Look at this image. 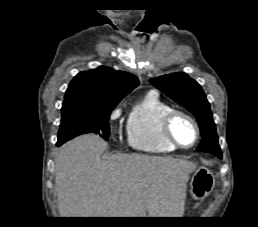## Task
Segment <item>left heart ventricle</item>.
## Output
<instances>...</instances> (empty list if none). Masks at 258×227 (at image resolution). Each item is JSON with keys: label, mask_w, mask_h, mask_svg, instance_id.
Instances as JSON below:
<instances>
[{"label": "left heart ventricle", "mask_w": 258, "mask_h": 227, "mask_svg": "<svg viewBox=\"0 0 258 227\" xmlns=\"http://www.w3.org/2000/svg\"><path fill=\"white\" fill-rule=\"evenodd\" d=\"M172 132L182 145L188 146L195 140V129L193 125L183 117H176L172 124Z\"/></svg>", "instance_id": "left-heart-ventricle-1"}]
</instances>
